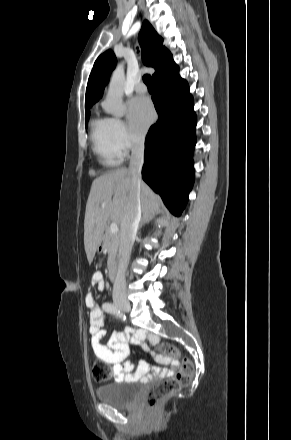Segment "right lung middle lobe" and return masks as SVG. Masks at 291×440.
Segmentation results:
<instances>
[{"label":"right lung middle lobe","mask_w":291,"mask_h":440,"mask_svg":"<svg viewBox=\"0 0 291 440\" xmlns=\"http://www.w3.org/2000/svg\"><path fill=\"white\" fill-rule=\"evenodd\" d=\"M89 116H90V112H86V114H85L86 121L89 119Z\"/></svg>","instance_id":"right-lung-middle-lobe-1"}]
</instances>
